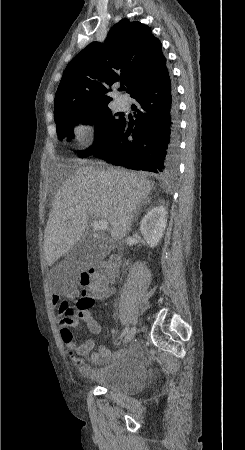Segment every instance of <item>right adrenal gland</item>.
I'll return each instance as SVG.
<instances>
[{
	"label": "right adrenal gland",
	"instance_id": "1",
	"mask_svg": "<svg viewBox=\"0 0 245 450\" xmlns=\"http://www.w3.org/2000/svg\"><path fill=\"white\" fill-rule=\"evenodd\" d=\"M148 202H149V199H147L145 202H143L141 206L147 204ZM139 211H140V209H139ZM136 216H137V214H136Z\"/></svg>",
	"mask_w": 245,
	"mask_h": 450
}]
</instances>
